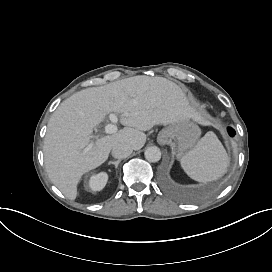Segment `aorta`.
Returning a JSON list of instances; mask_svg holds the SVG:
<instances>
[{"mask_svg":"<svg viewBox=\"0 0 272 272\" xmlns=\"http://www.w3.org/2000/svg\"><path fill=\"white\" fill-rule=\"evenodd\" d=\"M145 158L149 162H157L161 159V151L158 147H148L145 151Z\"/></svg>","mask_w":272,"mask_h":272,"instance_id":"aorta-1","label":"aorta"}]
</instances>
